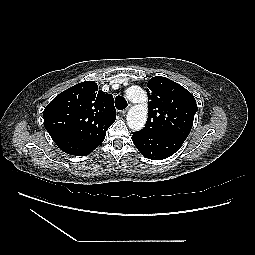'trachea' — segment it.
I'll list each match as a JSON object with an SVG mask.
<instances>
[{
    "label": "trachea",
    "instance_id": "3493384b",
    "mask_svg": "<svg viewBox=\"0 0 255 255\" xmlns=\"http://www.w3.org/2000/svg\"><path fill=\"white\" fill-rule=\"evenodd\" d=\"M115 106L118 110H123L128 106V104L123 96H117L115 98Z\"/></svg>",
    "mask_w": 255,
    "mask_h": 255
}]
</instances>
